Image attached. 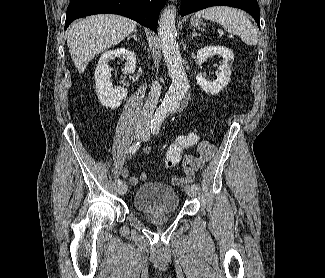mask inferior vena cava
Returning <instances> with one entry per match:
<instances>
[{"label": "inferior vena cava", "mask_w": 325, "mask_h": 278, "mask_svg": "<svg viewBox=\"0 0 325 278\" xmlns=\"http://www.w3.org/2000/svg\"><path fill=\"white\" fill-rule=\"evenodd\" d=\"M160 85L158 82H154L151 86V90L148 96V99L145 102V105L142 109L139 123L140 124H149L153 118L154 110L158 103L160 97Z\"/></svg>", "instance_id": "obj_1"}]
</instances>
